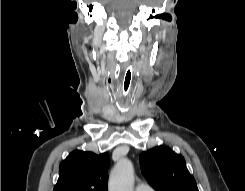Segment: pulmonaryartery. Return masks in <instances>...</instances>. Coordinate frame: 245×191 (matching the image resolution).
<instances>
[{
    "label": "pulmonary artery",
    "instance_id": "pulmonary-artery-1",
    "mask_svg": "<svg viewBox=\"0 0 245 191\" xmlns=\"http://www.w3.org/2000/svg\"><path fill=\"white\" fill-rule=\"evenodd\" d=\"M135 191H154V189L145 183H140L136 186Z\"/></svg>",
    "mask_w": 245,
    "mask_h": 191
}]
</instances>
